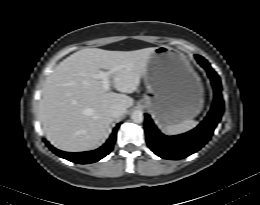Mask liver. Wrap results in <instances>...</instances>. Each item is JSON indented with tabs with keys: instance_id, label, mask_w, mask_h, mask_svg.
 <instances>
[{
	"instance_id": "obj_1",
	"label": "liver",
	"mask_w": 260,
	"mask_h": 205,
	"mask_svg": "<svg viewBox=\"0 0 260 205\" xmlns=\"http://www.w3.org/2000/svg\"><path fill=\"white\" fill-rule=\"evenodd\" d=\"M154 51V47L134 51L85 48L60 62L46 78L38 109L51 144L68 152L97 148L111 130L109 110L133 105V98L125 93L137 90ZM114 68L111 83L121 93L105 90L97 77L101 69Z\"/></svg>"
}]
</instances>
